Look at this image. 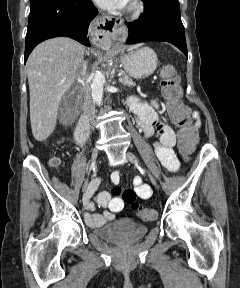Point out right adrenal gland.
I'll return each mask as SVG.
<instances>
[{"label":"right adrenal gland","instance_id":"right-adrenal-gland-1","mask_svg":"<svg viewBox=\"0 0 240 288\" xmlns=\"http://www.w3.org/2000/svg\"><path fill=\"white\" fill-rule=\"evenodd\" d=\"M83 69H84V71H86V69H87V63L86 62L83 63Z\"/></svg>","mask_w":240,"mask_h":288}]
</instances>
